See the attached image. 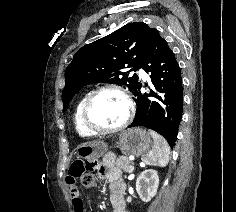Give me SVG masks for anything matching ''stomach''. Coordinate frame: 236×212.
Returning <instances> with one entry per match:
<instances>
[{
    "label": "stomach",
    "instance_id": "1",
    "mask_svg": "<svg viewBox=\"0 0 236 212\" xmlns=\"http://www.w3.org/2000/svg\"><path fill=\"white\" fill-rule=\"evenodd\" d=\"M151 144L150 134L140 128L127 129L118 137V147L125 155H144L149 151ZM106 151L107 145L103 141L84 143L77 147L78 157L88 161L102 157Z\"/></svg>",
    "mask_w": 236,
    "mask_h": 212
}]
</instances>
